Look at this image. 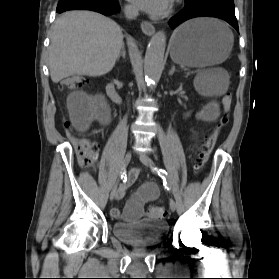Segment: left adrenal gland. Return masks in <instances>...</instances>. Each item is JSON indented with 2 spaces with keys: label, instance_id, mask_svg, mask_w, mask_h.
Masks as SVG:
<instances>
[{
  "label": "left adrenal gland",
  "instance_id": "obj_1",
  "mask_svg": "<svg viewBox=\"0 0 279 279\" xmlns=\"http://www.w3.org/2000/svg\"><path fill=\"white\" fill-rule=\"evenodd\" d=\"M176 71L175 66L172 65L171 70L169 71V76H172L174 74V72Z\"/></svg>",
  "mask_w": 279,
  "mask_h": 279
}]
</instances>
